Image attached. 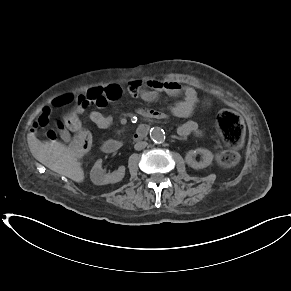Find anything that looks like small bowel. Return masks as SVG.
Here are the masks:
<instances>
[{
  "label": "small bowel",
  "instance_id": "small-bowel-1",
  "mask_svg": "<svg viewBox=\"0 0 291 291\" xmlns=\"http://www.w3.org/2000/svg\"><path fill=\"white\" fill-rule=\"evenodd\" d=\"M127 92L132 97H140L145 102H155L160 97L161 93H166L170 96L183 95V99L175 103L171 111L178 118H189L195 110L198 103V96L196 91L188 86H182L177 81H163V80H146L143 77H132L127 83ZM124 89L118 83H108L105 85H95L86 88L78 95L77 109L82 113L88 106H93L96 109L89 114L90 120L100 129H106L112 124V118L102 113L109 102L118 101L122 98ZM140 117H147L149 120L165 121L168 115L165 112L147 111L145 108H140L137 111ZM49 125V113L43 112L35 121L33 130L37 132L45 129ZM199 127L194 120H187L179 129L178 134L181 136H188L190 134H198ZM60 137L70 142L71 133L69 130H63ZM56 139V138H55ZM50 139V140H55Z\"/></svg>",
  "mask_w": 291,
  "mask_h": 291
}]
</instances>
